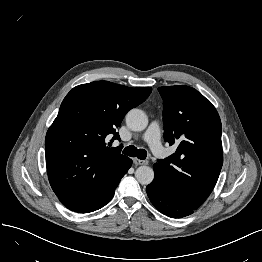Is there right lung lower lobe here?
Here are the masks:
<instances>
[{
	"label": "right lung lower lobe",
	"mask_w": 262,
	"mask_h": 262,
	"mask_svg": "<svg viewBox=\"0 0 262 262\" xmlns=\"http://www.w3.org/2000/svg\"><path fill=\"white\" fill-rule=\"evenodd\" d=\"M131 165H132V160L129 159L122 169L121 176L116 186L107 195L103 197L92 198V199H59V200L64 206L75 212L89 213L98 210L103 206H105L112 199L117 185L119 184L121 178L126 174L128 169L131 167Z\"/></svg>",
	"instance_id": "98d812e1"
}]
</instances>
